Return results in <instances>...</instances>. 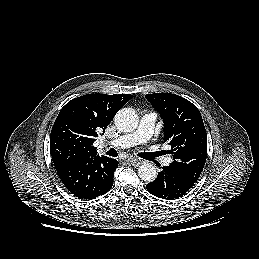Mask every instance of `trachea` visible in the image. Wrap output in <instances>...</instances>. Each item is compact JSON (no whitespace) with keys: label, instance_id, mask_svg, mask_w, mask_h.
I'll use <instances>...</instances> for the list:
<instances>
[{"label":"trachea","instance_id":"1","mask_svg":"<svg viewBox=\"0 0 259 259\" xmlns=\"http://www.w3.org/2000/svg\"><path fill=\"white\" fill-rule=\"evenodd\" d=\"M106 154L108 156L116 157L117 156V151L114 148H111L109 151L106 152ZM161 155H163L162 151L153 153L154 157H158V156H161Z\"/></svg>","mask_w":259,"mask_h":259}]
</instances>
